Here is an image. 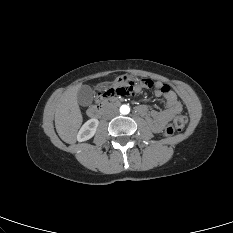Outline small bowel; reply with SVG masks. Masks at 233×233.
I'll list each match as a JSON object with an SVG mask.
<instances>
[{"mask_svg": "<svg viewBox=\"0 0 233 233\" xmlns=\"http://www.w3.org/2000/svg\"><path fill=\"white\" fill-rule=\"evenodd\" d=\"M142 87H144L142 83L135 84V92L140 91ZM154 93L163 99L165 108L161 111H150L148 106L140 105L137 107V112L146 118L148 125L154 132L159 133L173 116L182 111V104L170 87L162 82L154 83Z\"/></svg>", "mask_w": 233, "mask_h": 233, "instance_id": "obj_1", "label": "small bowel"}]
</instances>
